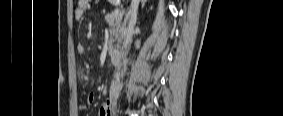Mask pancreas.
<instances>
[{"instance_id": "pancreas-1", "label": "pancreas", "mask_w": 283, "mask_h": 116, "mask_svg": "<svg viewBox=\"0 0 283 116\" xmlns=\"http://www.w3.org/2000/svg\"><path fill=\"white\" fill-rule=\"evenodd\" d=\"M124 13L121 10H115L105 17L107 24L110 27V41L108 44L109 51L115 48V42L121 43L127 28V17L123 19Z\"/></svg>"}]
</instances>
